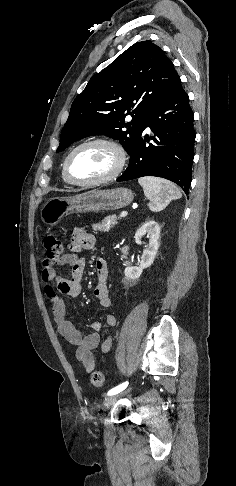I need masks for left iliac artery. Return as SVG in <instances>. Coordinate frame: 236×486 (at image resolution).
I'll return each mask as SVG.
<instances>
[{
	"mask_svg": "<svg viewBox=\"0 0 236 486\" xmlns=\"http://www.w3.org/2000/svg\"><path fill=\"white\" fill-rule=\"evenodd\" d=\"M128 385V382H124L114 388H112L111 390L108 391L107 395H114V394H118L119 392L123 391Z\"/></svg>",
	"mask_w": 236,
	"mask_h": 486,
	"instance_id": "44dca946",
	"label": "left iliac artery"
}]
</instances>
